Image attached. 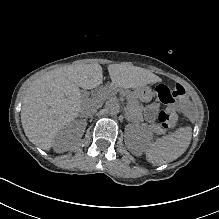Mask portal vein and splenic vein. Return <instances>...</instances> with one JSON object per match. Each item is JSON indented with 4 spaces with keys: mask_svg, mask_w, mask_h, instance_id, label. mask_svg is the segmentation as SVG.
Returning <instances> with one entry per match:
<instances>
[{
    "mask_svg": "<svg viewBox=\"0 0 219 219\" xmlns=\"http://www.w3.org/2000/svg\"><path fill=\"white\" fill-rule=\"evenodd\" d=\"M99 94L102 95L101 90H100ZM104 95H107L108 98L111 99V100H112V98H113V96H114L113 93H110V94H109V93H108V90H107V93H105Z\"/></svg>",
    "mask_w": 219,
    "mask_h": 219,
    "instance_id": "18ae733b",
    "label": "portal vein and splenic vein"
}]
</instances>
